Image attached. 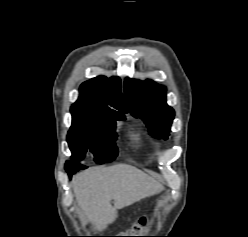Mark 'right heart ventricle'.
<instances>
[{
	"label": "right heart ventricle",
	"instance_id": "e07e8e85",
	"mask_svg": "<svg viewBox=\"0 0 248 237\" xmlns=\"http://www.w3.org/2000/svg\"><path fill=\"white\" fill-rule=\"evenodd\" d=\"M139 135L138 134H133L132 135V141L135 143V144H138L139 143Z\"/></svg>",
	"mask_w": 248,
	"mask_h": 237
}]
</instances>
